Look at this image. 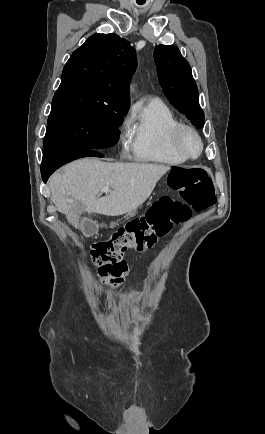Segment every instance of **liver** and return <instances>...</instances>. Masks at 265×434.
Listing matches in <instances>:
<instances>
[{"label": "liver", "mask_w": 265, "mask_h": 434, "mask_svg": "<svg viewBox=\"0 0 265 434\" xmlns=\"http://www.w3.org/2000/svg\"><path fill=\"white\" fill-rule=\"evenodd\" d=\"M169 170L170 166L158 164H109L98 158H83L51 176V200L58 212L65 214L69 224L78 228L83 212L122 216L136 210L151 196L158 180ZM104 186L112 188L109 196L96 200Z\"/></svg>", "instance_id": "1"}]
</instances>
